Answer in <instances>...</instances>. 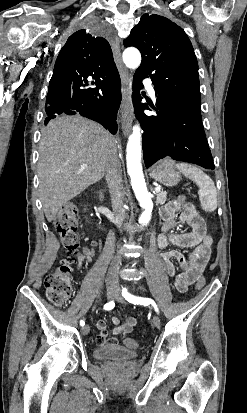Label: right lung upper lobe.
I'll use <instances>...</instances> for the list:
<instances>
[{"label":"right lung upper lobe","instance_id":"obj_1","mask_svg":"<svg viewBox=\"0 0 247 413\" xmlns=\"http://www.w3.org/2000/svg\"><path fill=\"white\" fill-rule=\"evenodd\" d=\"M115 72L118 70L108 41L83 29L68 38L57 57L53 76L62 73L106 76Z\"/></svg>","mask_w":247,"mask_h":413}]
</instances>
